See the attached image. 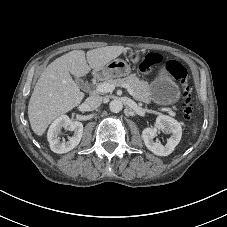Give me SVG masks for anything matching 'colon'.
<instances>
[{"mask_svg": "<svg viewBox=\"0 0 227 227\" xmlns=\"http://www.w3.org/2000/svg\"><path fill=\"white\" fill-rule=\"evenodd\" d=\"M162 57L156 53H149L145 56L139 65V69L142 73H150L155 66L160 64ZM168 72L177 81L181 90V99L183 104V113L186 119H190L193 115V103L191 88L188 83V73L186 68L179 62L171 60L166 64Z\"/></svg>", "mask_w": 227, "mask_h": 227, "instance_id": "5ec220e1", "label": "colon"}]
</instances>
